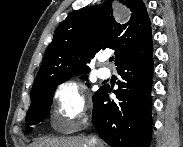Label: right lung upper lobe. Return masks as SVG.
<instances>
[{
    "label": "right lung upper lobe",
    "mask_w": 183,
    "mask_h": 147,
    "mask_svg": "<svg viewBox=\"0 0 183 147\" xmlns=\"http://www.w3.org/2000/svg\"><path fill=\"white\" fill-rule=\"evenodd\" d=\"M112 1L74 11L59 24L31 91L57 79L86 75L92 59L106 48L115 50L116 66L153 51L151 24L142 0H120L131 11L125 24L114 19Z\"/></svg>",
    "instance_id": "cb5924a9"
}]
</instances>
